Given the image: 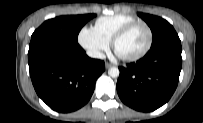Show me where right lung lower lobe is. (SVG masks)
I'll use <instances>...</instances> for the list:
<instances>
[{
    "mask_svg": "<svg viewBox=\"0 0 203 123\" xmlns=\"http://www.w3.org/2000/svg\"><path fill=\"white\" fill-rule=\"evenodd\" d=\"M28 57L37 95L57 112L84 106L105 70L104 62L89 58L78 43L51 37L32 38Z\"/></svg>",
    "mask_w": 203,
    "mask_h": 123,
    "instance_id": "98d812e1",
    "label": "right lung lower lobe"
}]
</instances>
